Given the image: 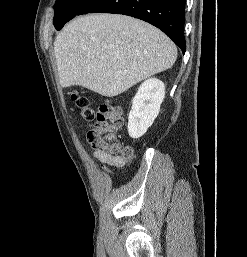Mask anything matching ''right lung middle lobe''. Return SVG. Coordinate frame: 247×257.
<instances>
[{
    "instance_id": "right-lung-middle-lobe-1",
    "label": "right lung middle lobe",
    "mask_w": 247,
    "mask_h": 257,
    "mask_svg": "<svg viewBox=\"0 0 247 257\" xmlns=\"http://www.w3.org/2000/svg\"><path fill=\"white\" fill-rule=\"evenodd\" d=\"M92 0H56L53 24L57 30L71 20Z\"/></svg>"
}]
</instances>
